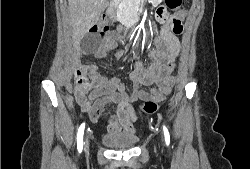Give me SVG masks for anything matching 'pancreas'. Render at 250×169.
<instances>
[{"label": "pancreas", "mask_w": 250, "mask_h": 169, "mask_svg": "<svg viewBox=\"0 0 250 169\" xmlns=\"http://www.w3.org/2000/svg\"><path fill=\"white\" fill-rule=\"evenodd\" d=\"M126 10H135L136 0H125Z\"/></svg>", "instance_id": "pancreas-1"}]
</instances>
